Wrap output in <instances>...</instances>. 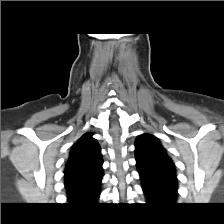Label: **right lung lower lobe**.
Masks as SVG:
<instances>
[{
	"mask_svg": "<svg viewBox=\"0 0 224 224\" xmlns=\"http://www.w3.org/2000/svg\"><path fill=\"white\" fill-rule=\"evenodd\" d=\"M99 195H100V192L92 198V201H89V202H95L98 198H99Z\"/></svg>",
	"mask_w": 224,
	"mask_h": 224,
	"instance_id": "1",
	"label": "right lung lower lobe"
}]
</instances>
